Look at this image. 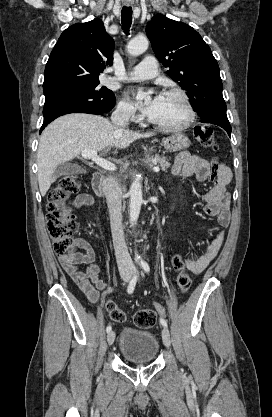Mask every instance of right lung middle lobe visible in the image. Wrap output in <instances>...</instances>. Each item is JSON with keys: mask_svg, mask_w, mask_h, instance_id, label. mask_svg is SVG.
<instances>
[{"mask_svg": "<svg viewBox=\"0 0 272 417\" xmlns=\"http://www.w3.org/2000/svg\"><path fill=\"white\" fill-rule=\"evenodd\" d=\"M43 92L45 94L44 118L69 106L88 105L98 109H107L115 104L113 92L104 86L100 87L99 83L61 86Z\"/></svg>", "mask_w": 272, "mask_h": 417, "instance_id": "dd1d6c3e", "label": "right lung middle lobe"}]
</instances>
